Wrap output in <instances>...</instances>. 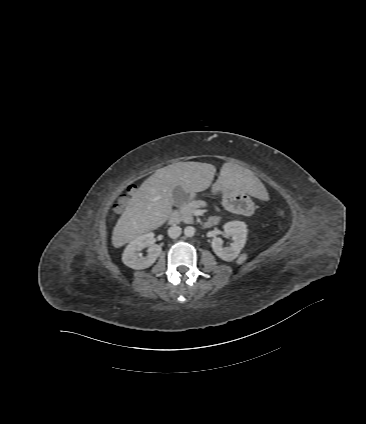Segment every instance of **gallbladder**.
I'll use <instances>...</instances> for the list:
<instances>
[{
    "mask_svg": "<svg viewBox=\"0 0 366 424\" xmlns=\"http://www.w3.org/2000/svg\"><path fill=\"white\" fill-rule=\"evenodd\" d=\"M185 197V192L180 186H177L173 191V199L175 204H179Z\"/></svg>",
    "mask_w": 366,
    "mask_h": 424,
    "instance_id": "1",
    "label": "gallbladder"
}]
</instances>
